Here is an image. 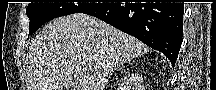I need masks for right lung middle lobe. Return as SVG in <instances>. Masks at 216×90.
Listing matches in <instances>:
<instances>
[{"mask_svg":"<svg viewBox=\"0 0 216 90\" xmlns=\"http://www.w3.org/2000/svg\"><path fill=\"white\" fill-rule=\"evenodd\" d=\"M105 3H30L26 14L30 20V35L37 31L44 23L64 15L83 13Z\"/></svg>","mask_w":216,"mask_h":90,"instance_id":"obj_1","label":"right lung middle lobe"}]
</instances>
